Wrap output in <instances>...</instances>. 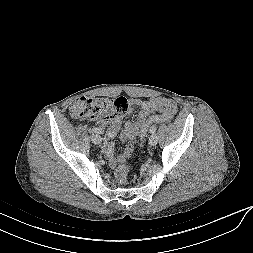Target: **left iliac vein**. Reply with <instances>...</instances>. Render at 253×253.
I'll return each instance as SVG.
<instances>
[{
	"mask_svg": "<svg viewBox=\"0 0 253 253\" xmlns=\"http://www.w3.org/2000/svg\"><path fill=\"white\" fill-rule=\"evenodd\" d=\"M158 138L157 135L155 133H152L151 136L149 137V144L151 146H154L157 144Z\"/></svg>",
	"mask_w": 253,
	"mask_h": 253,
	"instance_id": "left-iliac-vein-1",
	"label": "left iliac vein"
}]
</instances>
